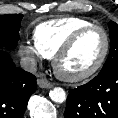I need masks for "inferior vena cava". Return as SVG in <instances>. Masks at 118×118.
Returning a JSON list of instances; mask_svg holds the SVG:
<instances>
[{
	"instance_id": "1",
	"label": "inferior vena cava",
	"mask_w": 118,
	"mask_h": 118,
	"mask_svg": "<svg viewBox=\"0 0 118 118\" xmlns=\"http://www.w3.org/2000/svg\"><path fill=\"white\" fill-rule=\"evenodd\" d=\"M20 64L21 67L28 72L34 73L37 70V62L33 58L24 57L21 59Z\"/></svg>"
}]
</instances>
